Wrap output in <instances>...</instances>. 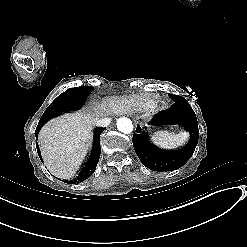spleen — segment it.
Wrapping results in <instances>:
<instances>
[{"instance_id": "obj_1", "label": "spleen", "mask_w": 247, "mask_h": 247, "mask_svg": "<svg viewBox=\"0 0 247 247\" xmlns=\"http://www.w3.org/2000/svg\"><path fill=\"white\" fill-rule=\"evenodd\" d=\"M187 133L175 134L170 131H159L154 135V140L161 146L175 147L181 144L186 138Z\"/></svg>"}]
</instances>
